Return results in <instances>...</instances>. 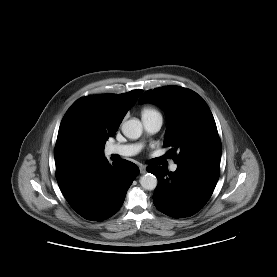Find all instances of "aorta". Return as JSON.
I'll use <instances>...</instances> for the list:
<instances>
[{
	"label": "aorta",
	"mask_w": 277,
	"mask_h": 277,
	"mask_svg": "<svg viewBox=\"0 0 277 277\" xmlns=\"http://www.w3.org/2000/svg\"><path fill=\"white\" fill-rule=\"evenodd\" d=\"M122 133L129 139H138L143 131L142 123L139 119H130L122 124ZM141 186L145 190H154L157 187L158 180L156 176L147 173L140 177Z\"/></svg>",
	"instance_id": "762f6f07"
}]
</instances>
